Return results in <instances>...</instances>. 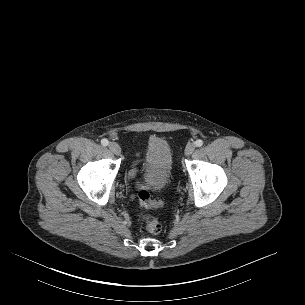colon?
<instances>
[{"label":"colon","mask_w":305,"mask_h":305,"mask_svg":"<svg viewBox=\"0 0 305 305\" xmlns=\"http://www.w3.org/2000/svg\"><path fill=\"white\" fill-rule=\"evenodd\" d=\"M139 201L142 207L144 208H157L161 206L160 201L153 200L151 198V194L148 189H141L138 193ZM146 230L151 234H158L161 229L162 225L160 221L152 216H145L144 218Z\"/></svg>","instance_id":"obj_1"}]
</instances>
